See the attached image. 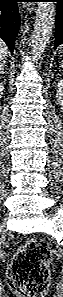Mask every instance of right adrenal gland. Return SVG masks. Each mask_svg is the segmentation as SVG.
I'll return each mask as SVG.
<instances>
[{
  "instance_id": "right-adrenal-gland-1",
  "label": "right adrenal gland",
  "mask_w": 63,
  "mask_h": 297,
  "mask_svg": "<svg viewBox=\"0 0 63 297\" xmlns=\"http://www.w3.org/2000/svg\"><path fill=\"white\" fill-rule=\"evenodd\" d=\"M5 65H1L0 66V75H4L5 74V69H4ZM2 77V76H1Z\"/></svg>"
}]
</instances>
